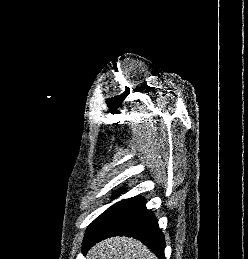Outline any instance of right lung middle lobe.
Masks as SVG:
<instances>
[{"instance_id": "obj_1", "label": "right lung middle lobe", "mask_w": 248, "mask_h": 259, "mask_svg": "<svg viewBox=\"0 0 248 259\" xmlns=\"http://www.w3.org/2000/svg\"><path fill=\"white\" fill-rule=\"evenodd\" d=\"M123 191V190H122ZM121 190H119V192H116L115 195H118L122 192ZM113 207V206H112ZM108 208L103 214H101L99 217H97L88 227L87 231H86V235H89L96 227L97 225L100 223V221L103 219V217L107 214V212L112 208Z\"/></svg>"}]
</instances>
